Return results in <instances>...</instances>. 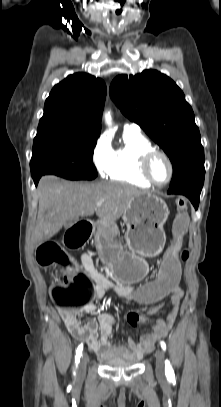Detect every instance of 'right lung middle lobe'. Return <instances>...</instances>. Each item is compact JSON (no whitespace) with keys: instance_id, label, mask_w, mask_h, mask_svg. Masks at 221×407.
Instances as JSON below:
<instances>
[{"instance_id":"dd1d6c3e","label":"right lung middle lobe","mask_w":221,"mask_h":407,"mask_svg":"<svg viewBox=\"0 0 221 407\" xmlns=\"http://www.w3.org/2000/svg\"><path fill=\"white\" fill-rule=\"evenodd\" d=\"M96 142L97 138L70 132H37L30 162L32 177L55 174L70 180L94 179Z\"/></svg>"}]
</instances>
